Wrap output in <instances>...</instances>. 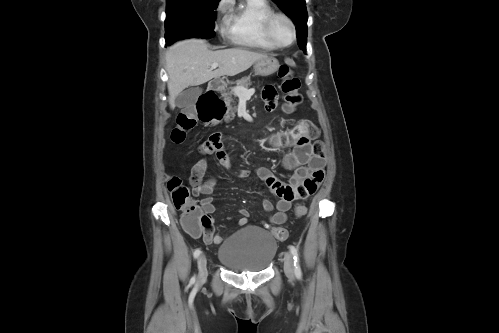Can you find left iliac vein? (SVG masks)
Instances as JSON below:
<instances>
[{
    "mask_svg": "<svg viewBox=\"0 0 499 333\" xmlns=\"http://www.w3.org/2000/svg\"><path fill=\"white\" fill-rule=\"evenodd\" d=\"M284 271L286 276L293 280L294 279V264L292 254L286 253L284 256Z\"/></svg>",
    "mask_w": 499,
    "mask_h": 333,
    "instance_id": "4c4485c4",
    "label": "left iliac vein"
}]
</instances>
